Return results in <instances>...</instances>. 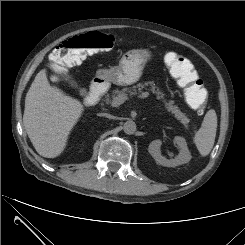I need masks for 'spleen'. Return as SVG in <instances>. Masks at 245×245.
Listing matches in <instances>:
<instances>
[{"mask_svg": "<svg viewBox=\"0 0 245 245\" xmlns=\"http://www.w3.org/2000/svg\"><path fill=\"white\" fill-rule=\"evenodd\" d=\"M217 130V115L215 110H209L202 122L201 128L196 132L194 143L202 156H207L215 142Z\"/></svg>", "mask_w": 245, "mask_h": 245, "instance_id": "1", "label": "spleen"}]
</instances>
